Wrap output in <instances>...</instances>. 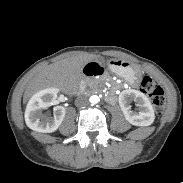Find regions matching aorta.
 Masks as SVG:
<instances>
[{
  "label": "aorta",
  "mask_w": 183,
  "mask_h": 183,
  "mask_svg": "<svg viewBox=\"0 0 183 183\" xmlns=\"http://www.w3.org/2000/svg\"><path fill=\"white\" fill-rule=\"evenodd\" d=\"M99 101H100V98H99L97 95H92V96L90 97V102H91L92 104H97V103H99Z\"/></svg>",
  "instance_id": "aorta-1"
}]
</instances>
